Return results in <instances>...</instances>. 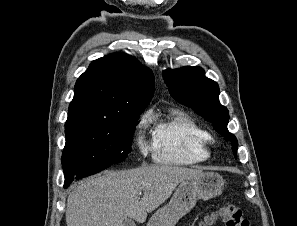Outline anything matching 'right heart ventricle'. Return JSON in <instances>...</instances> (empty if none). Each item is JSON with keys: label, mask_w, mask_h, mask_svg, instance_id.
I'll return each instance as SVG.
<instances>
[{"label": "right heart ventricle", "mask_w": 297, "mask_h": 226, "mask_svg": "<svg viewBox=\"0 0 297 226\" xmlns=\"http://www.w3.org/2000/svg\"><path fill=\"white\" fill-rule=\"evenodd\" d=\"M212 135L188 114L173 111L155 124L154 158L168 165H194L210 157Z\"/></svg>", "instance_id": "obj_1"}]
</instances>
